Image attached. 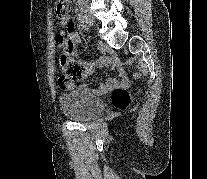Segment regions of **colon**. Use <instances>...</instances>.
<instances>
[{"mask_svg": "<svg viewBox=\"0 0 207 179\" xmlns=\"http://www.w3.org/2000/svg\"><path fill=\"white\" fill-rule=\"evenodd\" d=\"M55 12L58 17H63L69 12L68 0H56ZM60 51L57 57V69L62 84H71L80 80L88 71L82 63L73 62L63 48V40H57ZM111 103L118 110H125L130 104V93L122 87L115 88L111 93Z\"/></svg>", "mask_w": 207, "mask_h": 179, "instance_id": "1", "label": "colon"}]
</instances>
